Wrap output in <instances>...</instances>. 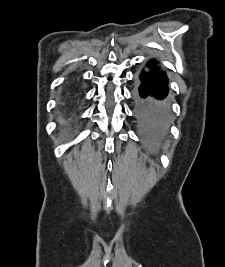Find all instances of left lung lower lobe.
Returning a JSON list of instances; mask_svg holds the SVG:
<instances>
[{
    "instance_id": "left-lung-lower-lobe-1",
    "label": "left lung lower lobe",
    "mask_w": 225,
    "mask_h": 267,
    "mask_svg": "<svg viewBox=\"0 0 225 267\" xmlns=\"http://www.w3.org/2000/svg\"><path fill=\"white\" fill-rule=\"evenodd\" d=\"M137 107L145 108L154 122L167 126L171 112L168 102V78L159 62L151 59L139 74L135 86Z\"/></svg>"
}]
</instances>
